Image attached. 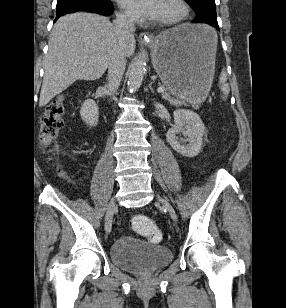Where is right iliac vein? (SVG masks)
Masks as SVG:
<instances>
[{
	"mask_svg": "<svg viewBox=\"0 0 286 308\" xmlns=\"http://www.w3.org/2000/svg\"><path fill=\"white\" fill-rule=\"evenodd\" d=\"M116 207H117V205H116L115 201H113V200L108 205L106 216H105V230H106L107 233L111 232L113 215H114V212L116 210Z\"/></svg>",
	"mask_w": 286,
	"mask_h": 308,
	"instance_id": "obj_1",
	"label": "right iliac vein"
}]
</instances>
